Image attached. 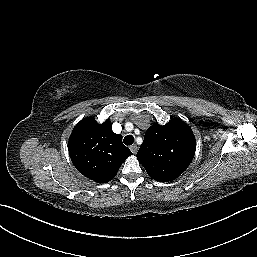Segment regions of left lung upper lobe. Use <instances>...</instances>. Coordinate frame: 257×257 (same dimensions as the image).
<instances>
[{
	"mask_svg": "<svg viewBox=\"0 0 257 257\" xmlns=\"http://www.w3.org/2000/svg\"><path fill=\"white\" fill-rule=\"evenodd\" d=\"M196 150L192 129L182 120L155 124L145 133L137 159L148 175L167 182L180 176L191 163Z\"/></svg>",
	"mask_w": 257,
	"mask_h": 257,
	"instance_id": "1",
	"label": "left lung upper lobe"
}]
</instances>
